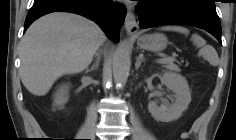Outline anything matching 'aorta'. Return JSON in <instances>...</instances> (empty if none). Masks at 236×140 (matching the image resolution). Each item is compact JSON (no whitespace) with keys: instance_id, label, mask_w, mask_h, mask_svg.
<instances>
[{"instance_id":"obj_1","label":"aorta","mask_w":236,"mask_h":140,"mask_svg":"<svg viewBox=\"0 0 236 140\" xmlns=\"http://www.w3.org/2000/svg\"><path fill=\"white\" fill-rule=\"evenodd\" d=\"M130 64V46L123 41L117 47L113 56V76L117 83L121 84L127 80Z\"/></svg>"}]
</instances>
